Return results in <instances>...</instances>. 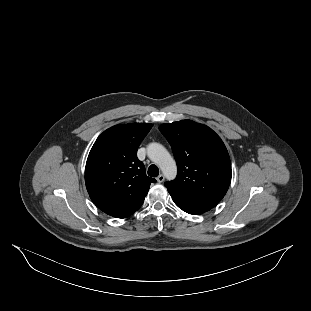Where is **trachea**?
Masks as SVG:
<instances>
[{
	"mask_svg": "<svg viewBox=\"0 0 311 311\" xmlns=\"http://www.w3.org/2000/svg\"><path fill=\"white\" fill-rule=\"evenodd\" d=\"M148 175L151 177H157L159 175V169L156 165L152 164L148 168Z\"/></svg>",
	"mask_w": 311,
	"mask_h": 311,
	"instance_id": "3493384b",
	"label": "trachea"
}]
</instances>
